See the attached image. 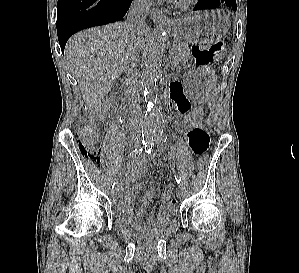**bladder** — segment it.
Returning <instances> with one entry per match:
<instances>
[{
	"label": "bladder",
	"mask_w": 299,
	"mask_h": 273,
	"mask_svg": "<svg viewBox=\"0 0 299 273\" xmlns=\"http://www.w3.org/2000/svg\"><path fill=\"white\" fill-rule=\"evenodd\" d=\"M114 223L122 228L130 230H147V231H157L162 228H166L171 225L174 221L173 215H168L166 217H159L157 220L150 224H145L140 219H137L131 215H126L121 213L117 208L113 211Z\"/></svg>",
	"instance_id": "1"
}]
</instances>
